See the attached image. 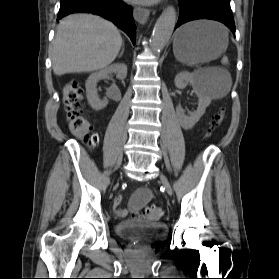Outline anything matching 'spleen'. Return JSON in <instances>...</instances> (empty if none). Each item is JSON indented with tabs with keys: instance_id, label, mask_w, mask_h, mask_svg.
<instances>
[{
	"instance_id": "obj_1",
	"label": "spleen",
	"mask_w": 279,
	"mask_h": 279,
	"mask_svg": "<svg viewBox=\"0 0 279 279\" xmlns=\"http://www.w3.org/2000/svg\"><path fill=\"white\" fill-rule=\"evenodd\" d=\"M223 64H228V58L223 57L222 61ZM198 75H201L199 72L197 73ZM226 80L224 82H221L220 79H215V80H207L202 82V90L203 92L212 97V98H222L226 96L232 85L231 77L228 73H225Z\"/></svg>"
}]
</instances>
